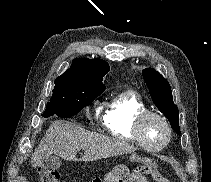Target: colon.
<instances>
[{
	"label": "colon",
	"mask_w": 211,
	"mask_h": 182,
	"mask_svg": "<svg viewBox=\"0 0 211 182\" xmlns=\"http://www.w3.org/2000/svg\"><path fill=\"white\" fill-rule=\"evenodd\" d=\"M38 174L41 182L59 181V174L43 164L38 167ZM147 175H149L154 182H169L155 165L139 166L133 169L118 166L108 173L107 178L106 176L104 178H95L89 182H141L145 181V176Z\"/></svg>",
	"instance_id": "colon-1"
}]
</instances>
